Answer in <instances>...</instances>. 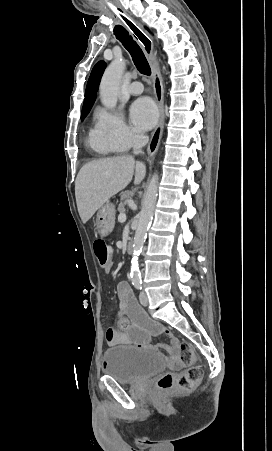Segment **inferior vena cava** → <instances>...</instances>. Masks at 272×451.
I'll use <instances>...</instances> for the list:
<instances>
[{"label":"inferior vena cava","instance_id":"1","mask_svg":"<svg viewBox=\"0 0 272 451\" xmlns=\"http://www.w3.org/2000/svg\"><path fill=\"white\" fill-rule=\"evenodd\" d=\"M148 142V136H134L133 154H141V148Z\"/></svg>","mask_w":272,"mask_h":451}]
</instances>
